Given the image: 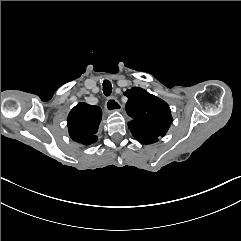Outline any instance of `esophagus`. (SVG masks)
<instances>
[{
  "label": "esophagus",
  "instance_id": "34e87169",
  "mask_svg": "<svg viewBox=\"0 0 241 241\" xmlns=\"http://www.w3.org/2000/svg\"><path fill=\"white\" fill-rule=\"evenodd\" d=\"M105 110L107 113H111L113 111H121L122 106L115 97L111 96L108 97L105 102Z\"/></svg>",
  "mask_w": 241,
  "mask_h": 241
}]
</instances>
